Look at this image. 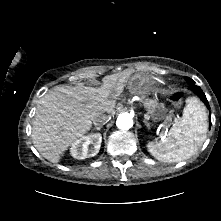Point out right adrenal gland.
Here are the masks:
<instances>
[{
    "mask_svg": "<svg viewBox=\"0 0 221 221\" xmlns=\"http://www.w3.org/2000/svg\"><path fill=\"white\" fill-rule=\"evenodd\" d=\"M102 128V126H98V127H95L93 130H97V131H100Z\"/></svg>",
    "mask_w": 221,
    "mask_h": 221,
    "instance_id": "1",
    "label": "right adrenal gland"
}]
</instances>
